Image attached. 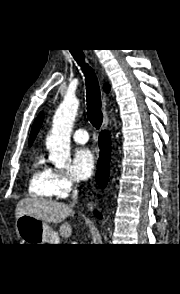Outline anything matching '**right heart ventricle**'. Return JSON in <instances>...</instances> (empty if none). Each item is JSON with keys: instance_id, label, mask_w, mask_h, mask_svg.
<instances>
[{"instance_id": "obj_1", "label": "right heart ventricle", "mask_w": 180, "mask_h": 294, "mask_svg": "<svg viewBox=\"0 0 180 294\" xmlns=\"http://www.w3.org/2000/svg\"><path fill=\"white\" fill-rule=\"evenodd\" d=\"M28 193L42 199H50L55 195L53 169L47 165L42 155H37L33 160Z\"/></svg>"}]
</instances>
